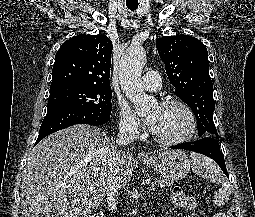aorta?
I'll return each mask as SVG.
<instances>
[{
    "instance_id": "762f6f07",
    "label": "aorta",
    "mask_w": 255,
    "mask_h": 217,
    "mask_svg": "<svg viewBox=\"0 0 255 217\" xmlns=\"http://www.w3.org/2000/svg\"><path fill=\"white\" fill-rule=\"evenodd\" d=\"M146 63V52L141 45L130 46L122 55L119 64L120 85L135 106L139 116L146 115L156 104L154 98L145 94L141 74Z\"/></svg>"
}]
</instances>
